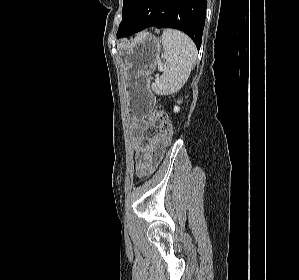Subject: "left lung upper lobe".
Masks as SVG:
<instances>
[{
	"mask_svg": "<svg viewBox=\"0 0 299 280\" xmlns=\"http://www.w3.org/2000/svg\"><path fill=\"white\" fill-rule=\"evenodd\" d=\"M135 0H123V8H122V14H123V18L122 21L120 23V30L117 32V37H119L121 31L123 30V28L128 24V22L130 21V17L133 11V4H134Z\"/></svg>",
	"mask_w": 299,
	"mask_h": 280,
	"instance_id": "1",
	"label": "left lung upper lobe"
}]
</instances>
